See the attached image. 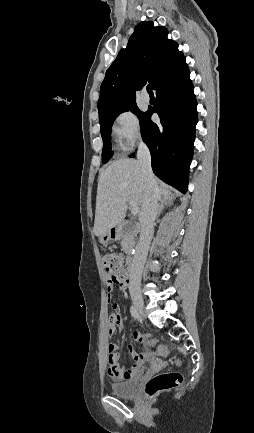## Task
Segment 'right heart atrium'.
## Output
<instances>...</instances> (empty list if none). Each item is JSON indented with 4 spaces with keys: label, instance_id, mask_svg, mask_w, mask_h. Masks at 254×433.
<instances>
[{
    "label": "right heart atrium",
    "instance_id": "d8ad5b80",
    "mask_svg": "<svg viewBox=\"0 0 254 433\" xmlns=\"http://www.w3.org/2000/svg\"><path fill=\"white\" fill-rule=\"evenodd\" d=\"M112 135L120 150H131L141 140L140 123L135 113L131 110L118 113L112 124Z\"/></svg>",
    "mask_w": 254,
    "mask_h": 433
}]
</instances>
